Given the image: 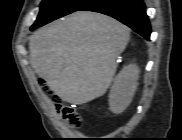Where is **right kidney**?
<instances>
[{
	"label": "right kidney",
	"instance_id": "right-kidney-1",
	"mask_svg": "<svg viewBox=\"0 0 182 140\" xmlns=\"http://www.w3.org/2000/svg\"><path fill=\"white\" fill-rule=\"evenodd\" d=\"M139 68L135 64L125 66L114 79L109 93V109L122 113L131 103L138 85Z\"/></svg>",
	"mask_w": 182,
	"mask_h": 140
}]
</instances>
